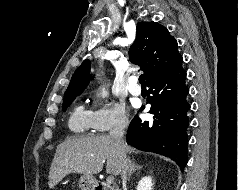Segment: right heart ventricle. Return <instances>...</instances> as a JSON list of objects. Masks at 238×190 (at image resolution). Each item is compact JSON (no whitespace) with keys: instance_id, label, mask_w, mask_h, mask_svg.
<instances>
[{"instance_id":"right-heart-ventricle-1","label":"right heart ventricle","mask_w":238,"mask_h":190,"mask_svg":"<svg viewBox=\"0 0 238 190\" xmlns=\"http://www.w3.org/2000/svg\"><path fill=\"white\" fill-rule=\"evenodd\" d=\"M68 125L75 133L87 131L91 127L90 113L83 106H77L69 118Z\"/></svg>"}]
</instances>
